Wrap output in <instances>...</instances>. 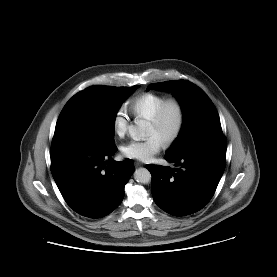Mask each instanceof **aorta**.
<instances>
[{"label":"aorta","mask_w":277,"mask_h":277,"mask_svg":"<svg viewBox=\"0 0 277 277\" xmlns=\"http://www.w3.org/2000/svg\"><path fill=\"white\" fill-rule=\"evenodd\" d=\"M147 127V123L140 120L135 125L129 126V134L134 140H139L146 136ZM134 179L138 183L148 184L151 181V174L146 168H138L134 172Z\"/></svg>","instance_id":"obj_1"}]
</instances>
